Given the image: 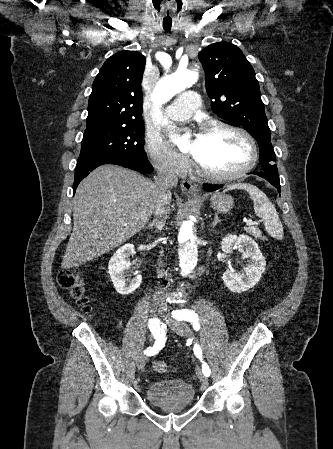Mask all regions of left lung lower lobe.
<instances>
[{
	"instance_id": "0a47b994",
	"label": "left lung lower lobe",
	"mask_w": 333,
	"mask_h": 449,
	"mask_svg": "<svg viewBox=\"0 0 333 449\" xmlns=\"http://www.w3.org/2000/svg\"><path fill=\"white\" fill-rule=\"evenodd\" d=\"M251 174H255L258 175L264 179H266L267 181H269L273 186H275L277 188V190L280 193V182H279V176H273L264 172H252ZM223 187V185H204V190L211 192V191H215L219 188Z\"/></svg>"
}]
</instances>
